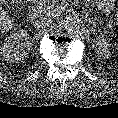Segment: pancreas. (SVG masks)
<instances>
[{
	"label": "pancreas",
	"instance_id": "cf45deb5",
	"mask_svg": "<svg viewBox=\"0 0 118 118\" xmlns=\"http://www.w3.org/2000/svg\"><path fill=\"white\" fill-rule=\"evenodd\" d=\"M35 2L37 7L45 9V12L53 7L51 0H36ZM88 13L96 19L95 25L99 30L104 31L113 27V20L108 18L105 12L98 10L95 6H90Z\"/></svg>",
	"mask_w": 118,
	"mask_h": 118
}]
</instances>
